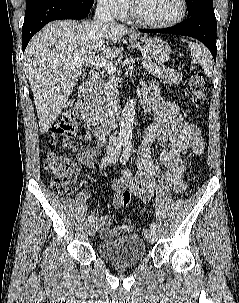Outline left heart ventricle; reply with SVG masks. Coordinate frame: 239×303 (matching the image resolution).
Wrapping results in <instances>:
<instances>
[{
	"label": "left heart ventricle",
	"instance_id": "left-heart-ventricle-1",
	"mask_svg": "<svg viewBox=\"0 0 239 303\" xmlns=\"http://www.w3.org/2000/svg\"><path fill=\"white\" fill-rule=\"evenodd\" d=\"M139 14L151 21H167L175 17L180 9L179 0H133Z\"/></svg>",
	"mask_w": 239,
	"mask_h": 303
}]
</instances>
